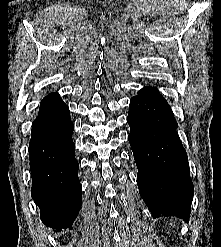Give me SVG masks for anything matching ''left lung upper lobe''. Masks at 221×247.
I'll list each match as a JSON object with an SVG mask.
<instances>
[{
    "mask_svg": "<svg viewBox=\"0 0 221 247\" xmlns=\"http://www.w3.org/2000/svg\"><path fill=\"white\" fill-rule=\"evenodd\" d=\"M142 90L144 92H147V93L151 94V95L163 98L162 95L158 92V90L155 87H151V86L144 87Z\"/></svg>",
    "mask_w": 221,
    "mask_h": 247,
    "instance_id": "5c2ea615",
    "label": "left lung upper lobe"
}]
</instances>
